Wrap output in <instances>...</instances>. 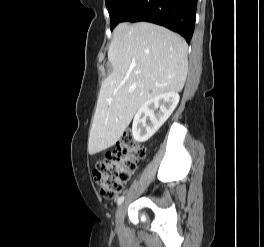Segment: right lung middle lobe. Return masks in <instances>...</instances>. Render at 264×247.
<instances>
[{
	"instance_id": "1",
	"label": "right lung middle lobe",
	"mask_w": 264,
	"mask_h": 247,
	"mask_svg": "<svg viewBox=\"0 0 264 247\" xmlns=\"http://www.w3.org/2000/svg\"><path fill=\"white\" fill-rule=\"evenodd\" d=\"M106 7L110 15V29L111 31L119 23V17L131 0H105Z\"/></svg>"
}]
</instances>
